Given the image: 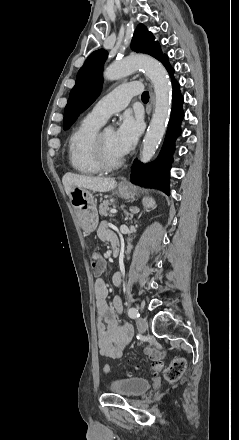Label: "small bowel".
Here are the masks:
<instances>
[{
  "instance_id": "small-bowel-1",
  "label": "small bowel",
  "mask_w": 239,
  "mask_h": 440,
  "mask_svg": "<svg viewBox=\"0 0 239 440\" xmlns=\"http://www.w3.org/2000/svg\"><path fill=\"white\" fill-rule=\"evenodd\" d=\"M98 237L103 242L112 245L118 243L115 233L106 223L100 225ZM122 275L117 273L113 277V283L119 286ZM96 308H97V335L100 354L106 358L117 359L123 354L124 349L132 338V328L126 322H121L116 317V312L122 311V304L118 297L113 300V307L108 306L106 298L107 286L102 278H98L94 285Z\"/></svg>"
}]
</instances>
